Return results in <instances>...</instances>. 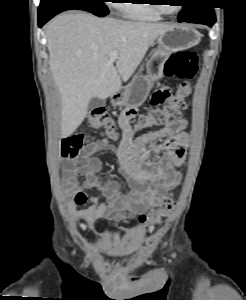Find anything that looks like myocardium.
<instances>
[{
	"label": "myocardium",
	"mask_w": 246,
	"mask_h": 300,
	"mask_svg": "<svg viewBox=\"0 0 246 300\" xmlns=\"http://www.w3.org/2000/svg\"><path fill=\"white\" fill-rule=\"evenodd\" d=\"M156 4H155V7L157 9V11L161 14V15H165V16H175L177 15L181 10H182V6H178L177 10L173 13H170L168 12L164 6L162 4H160V1L159 0H155L154 1Z\"/></svg>",
	"instance_id": "myocardium-1"
}]
</instances>
